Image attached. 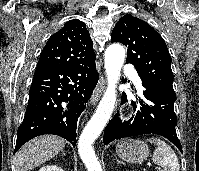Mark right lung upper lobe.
<instances>
[{"instance_id": "right-lung-upper-lobe-1", "label": "right lung upper lobe", "mask_w": 199, "mask_h": 171, "mask_svg": "<svg viewBox=\"0 0 199 171\" xmlns=\"http://www.w3.org/2000/svg\"><path fill=\"white\" fill-rule=\"evenodd\" d=\"M95 58L93 41L86 24L73 19L49 38L41 52L37 67L79 65Z\"/></svg>"}]
</instances>
